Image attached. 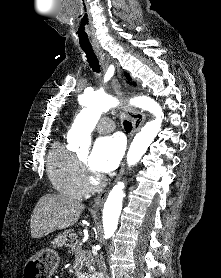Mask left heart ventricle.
I'll list each match as a JSON object with an SVG mask.
<instances>
[{"mask_svg":"<svg viewBox=\"0 0 221 278\" xmlns=\"http://www.w3.org/2000/svg\"><path fill=\"white\" fill-rule=\"evenodd\" d=\"M81 158L86 161L87 160V155H82Z\"/></svg>","mask_w":221,"mask_h":278,"instance_id":"1","label":"left heart ventricle"}]
</instances>
